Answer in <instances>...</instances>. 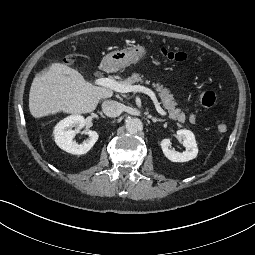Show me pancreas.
<instances>
[{"mask_svg": "<svg viewBox=\"0 0 255 255\" xmlns=\"http://www.w3.org/2000/svg\"><path fill=\"white\" fill-rule=\"evenodd\" d=\"M143 83V76L140 74L134 73L131 77L125 79L122 81V84L127 85H134L135 83ZM146 84H149V80H145ZM153 87L156 89V91L159 93V96L161 98L163 107L168 110L169 117L173 120H178L179 122L185 121V114L181 111V109L176 108V102L174 101L173 95L170 93V90L167 88H164L162 84L153 83Z\"/></svg>", "mask_w": 255, "mask_h": 255, "instance_id": "obj_1", "label": "pancreas"}]
</instances>
